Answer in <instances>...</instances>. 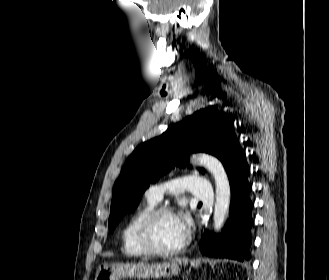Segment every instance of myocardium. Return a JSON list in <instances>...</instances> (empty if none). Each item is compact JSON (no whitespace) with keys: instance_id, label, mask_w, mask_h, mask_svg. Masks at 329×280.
<instances>
[{"instance_id":"1","label":"myocardium","mask_w":329,"mask_h":280,"mask_svg":"<svg viewBox=\"0 0 329 280\" xmlns=\"http://www.w3.org/2000/svg\"><path fill=\"white\" fill-rule=\"evenodd\" d=\"M162 214H173L174 210L165 205L156 206L151 209L140 221L137 228V240L143 250L151 255L156 256H172L182 252L187 244V240L183 241L174 248L163 249L158 247L153 239V225L156 219Z\"/></svg>"}]
</instances>
